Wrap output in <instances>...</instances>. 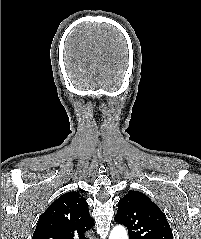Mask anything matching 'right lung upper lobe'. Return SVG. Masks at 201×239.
Wrapping results in <instances>:
<instances>
[{
	"instance_id": "1",
	"label": "right lung upper lobe",
	"mask_w": 201,
	"mask_h": 239,
	"mask_svg": "<svg viewBox=\"0 0 201 239\" xmlns=\"http://www.w3.org/2000/svg\"><path fill=\"white\" fill-rule=\"evenodd\" d=\"M93 225L85 198L68 192L41 215L32 239H87L85 232Z\"/></svg>"
}]
</instances>
